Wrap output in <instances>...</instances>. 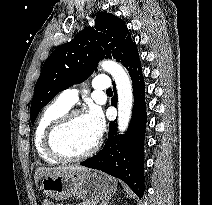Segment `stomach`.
Wrapping results in <instances>:
<instances>
[{
    "label": "stomach",
    "mask_w": 212,
    "mask_h": 205,
    "mask_svg": "<svg viewBox=\"0 0 212 205\" xmlns=\"http://www.w3.org/2000/svg\"><path fill=\"white\" fill-rule=\"evenodd\" d=\"M40 189L49 198L65 200L70 197L86 202L110 199L117 190V182L98 172L61 171L45 175Z\"/></svg>",
    "instance_id": "0dacf381"
}]
</instances>
